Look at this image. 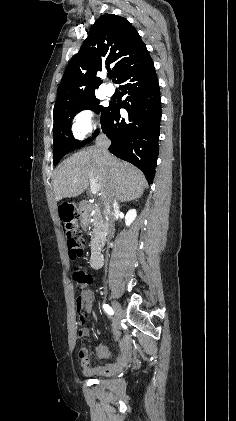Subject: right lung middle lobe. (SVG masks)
Instances as JSON below:
<instances>
[{
  "label": "right lung middle lobe",
  "mask_w": 236,
  "mask_h": 421,
  "mask_svg": "<svg viewBox=\"0 0 236 421\" xmlns=\"http://www.w3.org/2000/svg\"><path fill=\"white\" fill-rule=\"evenodd\" d=\"M90 109L96 113H101V121L108 110V107L99 105V99L93 96L77 99L63 104L53 111V140H54V165L61 158L75 148H80L86 141L79 143L73 138L71 132V120L78 111ZM97 131V130H96Z\"/></svg>",
  "instance_id": "dd1d6c3e"
}]
</instances>
